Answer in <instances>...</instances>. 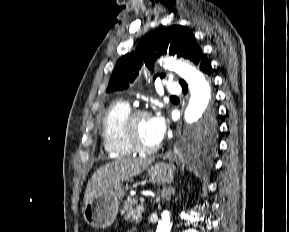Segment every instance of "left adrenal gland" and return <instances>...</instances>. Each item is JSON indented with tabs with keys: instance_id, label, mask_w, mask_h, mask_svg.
<instances>
[{
	"instance_id": "a2214340",
	"label": "left adrenal gland",
	"mask_w": 289,
	"mask_h": 232,
	"mask_svg": "<svg viewBox=\"0 0 289 232\" xmlns=\"http://www.w3.org/2000/svg\"><path fill=\"white\" fill-rule=\"evenodd\" d=\"M175 189L171 186L169 187H163L161 194L157 197L156 201L159 202L160 199L168 198L171 196V194H174Z\"/></svg>"
}]
</instances>
